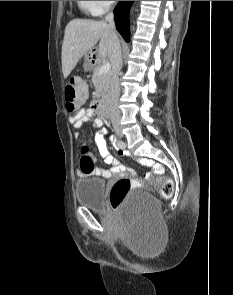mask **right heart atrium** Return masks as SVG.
Masks as SVG:
<instances>
[{
    "mask_svg": "<svg viewBox=\"0 0 233 295\" xmlns=\"http://www.w3.org/2000/svg\"><path fill=\"white\" fill-rule=\"evenodd\" d=\"M114 1H92L93 7L98 14L103 13Z\"/></svg>",
    "mask_w": 233,
    "mask_h": 295,
    "instance_id": "d8ad5b80",
    "label": "right heart atrium"
}]
</instances>
